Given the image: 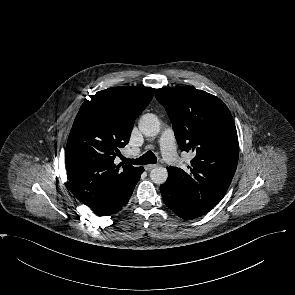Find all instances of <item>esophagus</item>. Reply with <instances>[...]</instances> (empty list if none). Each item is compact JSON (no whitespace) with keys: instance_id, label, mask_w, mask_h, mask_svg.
I'll list each match as a JSON object with an SVG mask.
<instances>
[{"instance_id":"34e87169","label":"esophagus","mask_w":295,"mask_h":295,"mask_svg":"<svg viewBox=\"0 0 295 295\" xmlns=\"http://www.w3.org/2000/svg\"><path fill=\"white\" fill-rule=\"evenodd\" d=\"M156 167L155 164H149V165H146L144 168L146 171H151L152 169H154Z\"/></svg>"}]
</instances>
